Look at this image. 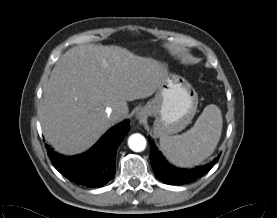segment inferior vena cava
Masks as SVG:
<instances>
[{"mask_svg": "<svg viewBox=\"0 0 277 218\" xmlns=\"http://www.w3.org/2000/svg\"><path fill=\"white\" fill-rule=\"evenodd\" d=\"M105 112L109 118H121L123 115V113L120 111L117 113H114L113 109H111L110 107H107Z\"/></svg>", "mask_w": 277, "mask_h": 218, "instance_id": "602c4592", "label": "inferior vena cava"}]
</instances>
